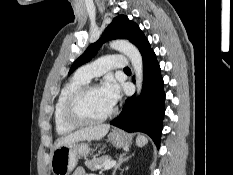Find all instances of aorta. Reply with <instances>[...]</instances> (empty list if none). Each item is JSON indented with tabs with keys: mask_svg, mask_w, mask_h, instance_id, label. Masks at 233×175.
Here are the masks:
<instances>
[{
	"mask_svg": "<svg viewBox=\"0 0 233 175\" xmlns=\"http://www.w3.org/2000/svg\"><path fill=\"white\" fill-rule=\"evenodd\" d=\"M110 47L126 55L133 66L136 78L137 93L140 94L143 82V61L139 50L130 42L125 40H114Z\"/></svg>",
	"mask_w": 233,
	"mask_h": 175,
	"instance_id": "aorta-1",
	"label": "aorta"
}]
</instances>
